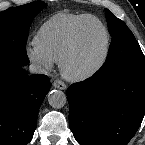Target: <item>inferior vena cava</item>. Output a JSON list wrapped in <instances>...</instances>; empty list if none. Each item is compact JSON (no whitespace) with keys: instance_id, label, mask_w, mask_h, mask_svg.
Returning a JSON list of instances; mask_svg holds the SVG:
<instances>
[{"instance_id":"obj_1","label":"inferior vena cava","mask_w":145,"mask_h":145,"mask_svg":"<svg viewBox=\"0 0 145 145\" xmlns=\"http://www.w3.org/2000/svg\"><path fill=\"white\" fill-rule=\"evenodd\" d=\"M29 71L32 74H45L46 73L45 69L41 65L36 64V63L30 64Z\"/></svg>"}]
</instances>
